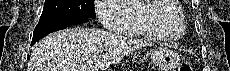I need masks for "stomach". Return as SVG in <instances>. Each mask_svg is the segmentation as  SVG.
Segmentation results:
<instances>
[{
  "label": "stomach",
  "instance_id": "stomach-1",
  "mask_svg": "<svg viewBox=\"0 0 230 71\" xmlns=\"http://www.w3.org/2000/svg\"><path fill=\"white\" fill-rule=\"evenodd\" d=\"M153 62L161 71H172L179 64L178 54L168 48H161L152 53Z\"/></svg>",
  "mask_w": 230,
  "mask_h": 71
}]
</instances>
